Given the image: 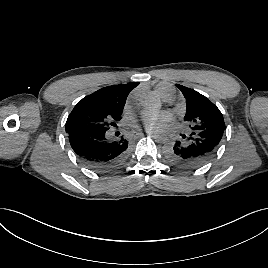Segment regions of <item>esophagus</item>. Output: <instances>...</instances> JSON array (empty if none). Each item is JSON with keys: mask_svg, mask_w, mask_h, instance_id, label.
<instances>
[{"mask_svg": "<svg viewBox=\"0 0 268 268\" xmlns=\"http://www.w3.org/2000/svg\"><path fill=\"white\" fill-rule=\"evenodd\" d=\"M146 136H147L146 131H143L142 133L139 134V137L142 138V139L146 138Z\"/></svg>", "mask_w": 268, "mask_h": 268, "instance_id": "obj_1", "label": "esophagus"}]
</instances>
